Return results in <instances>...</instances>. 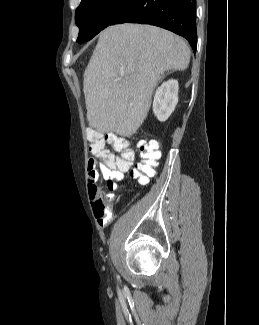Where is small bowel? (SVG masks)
Masks as SVG:
<instances>
[{"label":"small bowel","mask_w":259,"mask_h":325,"mask_svg":"<svg viewBox=\"0 0 259 325\" xmlns=\"http://www.w3.org/2000/svg\"><path fill=\"white\" fill-rule=\"evenodd\" d=\"M101 158L102 162L100 163L94 158L88 161V191L96 219L101 226H106L112 217V212L109 206L102 200L98 189L97 182L99 176L101 174L105 180L121 181L124 177L123 173L128 168L121 169L119 167L120 157L108 151ZM113 198V194H107L105 201L110 204Z\"/></svg>","instance_id":"c3829d8e"}]
</instances>
